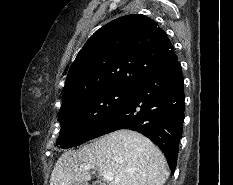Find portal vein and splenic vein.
Returning <instances> with one entry per match:
<instances>
[{
	"instance_id": "1",
	"label": "portal vein and splenic vein",
	"mask_w": 233,
	"mask_h": 185,
	"mask_svg": "<svg viewBox=\"0 0 233 185\" xmlns=\"http://www.w3.org/2000/svg\"><path fill=\"white\" fill-rule=\"evenodd\" d=\"M81 168H84L85 170L94 169V167L90 165H82ZM103 178L106 181H111L113 180V175L111 173H106V174H103Z\"/></svg>"
}]
</instances>
